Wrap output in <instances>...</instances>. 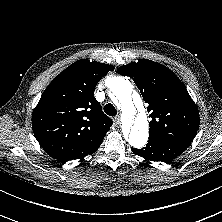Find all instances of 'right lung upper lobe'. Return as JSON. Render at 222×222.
I'll list each match as a JSON object with an SVG mask.
<instances>
[{
	"label": "right lung upper lobe",
	"instance_id": "1",
	"mask_svg": "<svg viewBox=\"0 0 222 222\" xmlns=\"http://www.w3.org/2000/svg\"><path fill=\"white\" fill-rule=\"evenodd\" d=\"M113 70L112 65L81 59L48 85L32 114L34 135L47 154L67 162L83 159L99 148L113 122L94 91Z\"/></svg>",
	"mask_w": 222,
	"mask_h": 222
}]
</instances>
